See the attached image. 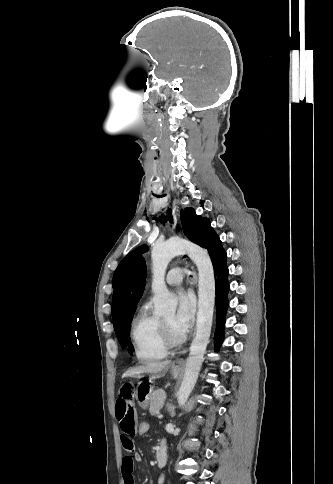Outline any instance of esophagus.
I'll return each mask as SVG.
<instances>
[{
	"instance_id": "esophagus-1",
	"label": "esophagus",
	"mask_w": 333,
	"mask_h": 484,
	"mask_svg": "<svg viewBox=\"0 0 333 484\" xmlns=\"http://www.w3.org/2000/svg\"><path fill=\"white\" fill-rule=\"evenodd\" d=\"M173 213H174V215H173V223H174V227H176L177 226V222H178V217H179V211L177 209H174L173 210ZM184 362H185L184 359L183 358H180V359L176 360V362L174 363V365L176 367H181L184 364Z\"/></svg>"
}]
</instances>
